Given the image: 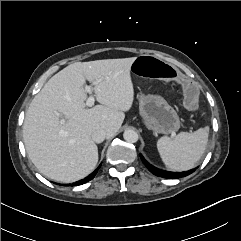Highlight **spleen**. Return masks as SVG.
Returning a JSON list of instances; mask_svg holds the SVG:
<instances>
[{
	"instance_id": "1",
	"label": "spleen",
	"mask_w": 241,
	"mask_h": 241,
	"mask_svg": "<svg viewBox=\"0 0 241 241\" xmlns=\"http://www.w3.org/2000/svg\"><path fill=\"white\" fill-rule=\"evenodd\" d=\"M209 127L193 133L180 132L174 139L161 137L157 149L164 164L172 171L192 169L205 152Z\"/></svg>"
}]
</instances>
